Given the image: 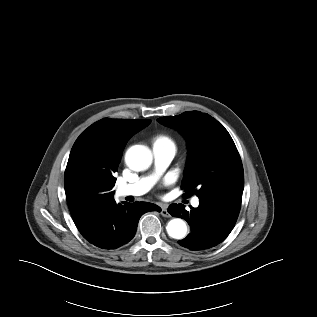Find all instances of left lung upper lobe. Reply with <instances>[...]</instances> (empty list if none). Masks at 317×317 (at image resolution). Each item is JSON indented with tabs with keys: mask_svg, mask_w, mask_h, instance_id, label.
Here are the masks:
<instances>
[{
	"mask_svg": "<svg viewBox=\"0 0 317 317\" xmlns=\"http://www.w3.org/2000/svg\"><path fill=\"white\" fill-rule=\"evenodd\" d=\"M158 121L176 129L187 140L188 160L181 184L185 196L243 192L240 155L223 125L200 111L162 117Z\"/></svg>",
	"mask_w": 317,
	"mask_h": 317,
	"instance_id": "1",
	"label": "left lung upper lobe"
}]
</instances>
